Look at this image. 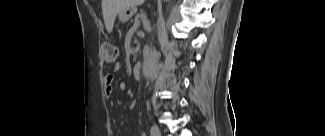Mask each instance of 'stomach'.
<instances>
[{
	"label": "stomach",
	"instance_id": "0dacf381",
	"mask_svg": "<svg viewBox=\"0 0 325 136\" xmlns=\"http://www.w3.org/2000/svg\"><path fill=\"white\" fill-rule=\"evenodd\" d=\"M134 12V8H125V11L119 14V19L122 22L128 21L132 17V15H134Z\"/></svg>",
	"mask_w": 325,
	"mask_h": 136
}]
</instances>
